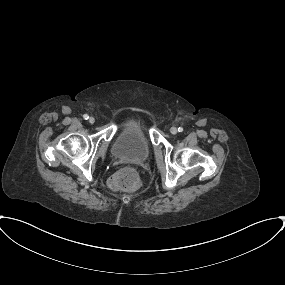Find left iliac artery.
I'll return each mask as SVG.
<instances>
[{
  "label": "left iliac artery",
  "mask_w": 285,
  "mask_h": 285,
  "mask_svg": "<svg viewBox=\"0 0 285 285\" xmlns=\"http://www.w3.org/2000/svg\"><path fill=\"white\" fill-rule=\"evenodd\" d=\"M183 131V128L182 127H179L178 128V132H182Z\"/></svg>",
  "instance_id": "44dca946"
}]
</instances>
